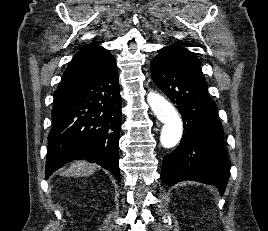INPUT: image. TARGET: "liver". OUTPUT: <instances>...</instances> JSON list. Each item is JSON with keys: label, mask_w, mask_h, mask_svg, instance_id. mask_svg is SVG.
<instances>
[{"label": "liver", "mask_w": 268, "mask_h": 231, "mask_svg": "<svg viewBox=\"0 0 268 231\" xmlns=\"http://www.w3.org/2000/svg\"><path fill=\"white\" fill-rule=\"evenodd\" d=\"M96 164H90L86 161L77 160L74 161L70 167L62 173L67 177H80V176H90L94 174L97 170Z\"/></svg>", "instance_id": "liver-1"}]
</instances>
